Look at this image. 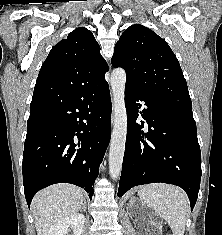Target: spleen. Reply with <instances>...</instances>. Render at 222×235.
I'll return each mask as SVG.
<instances>
[{"instance_id":"3e777b00","label":"spleen","mask_w":222,"mask_h":235,"mask_svg":"<svg viewBox=\"0 0 222 235\" xmlns=\"http://www.w3.org/2000/svg\"><path fill=\"white\" fill-rule=\"evenodd\" d=\"M138 195L168 222L173 235H184L190 206L180 188L169 184H149L140 187Z\"/></svg>"}]
</instances>
